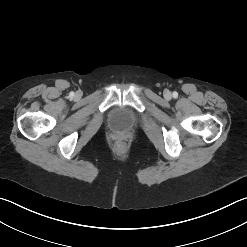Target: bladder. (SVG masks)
<instances>
[{
	"instance_id": "obj_1",
	"label": "bladder",
	"mask_w": 247,
	"mask_h": 247,
	"mask_svg": "<svg viewBox=\"0 0 247 247\" xmlns=\"http://www.w3.org/2000/svg\"><path fill=\"white\" fill-rule=\"evenodd\" d=\"M138 122L136 114L127 106L113 107L108 114V124L114 131H128Z\"/></svg>"
}]
</instances>
